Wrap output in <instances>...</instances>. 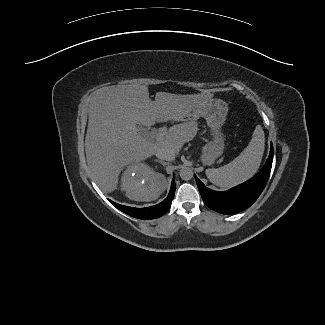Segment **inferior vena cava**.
<instances>
[{
	"label": "inferior vena cava",
	"instance_id": "602c4592",
	"mask_svg": "<svg viewBox=\"0 0 325 325\" xmlns=\"http://www.w3.org/2000/svg\"><path fill=\"white\" fill-rule=\"evenodd\" d=\"M156 156L162 160L173 161L175 159V153L168 149H159L156 152Z\"/></svg>",
	"mask_w": 325,
	"mask_h": 325
}]
</instances>
